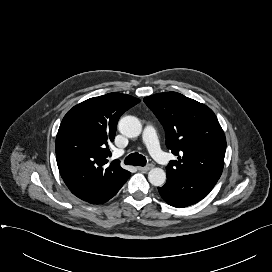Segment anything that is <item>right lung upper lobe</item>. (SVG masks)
Returning a JSON list of instances; mask_svg holds the SVG:
<instances>
[{
	"instance_id": "right-lung-upper-lobe-1",
	"label": "right lung upper lobe",
	"mask_w": 272,
	"mask_h": 272,
	"mask_svg": "<svg viewBox=\"0 0 272 272\" xmlns=\"http://www.w3.org/2000/svg\"><path fill=\"white\" fill-rule=\"evenodd\" d=\"M139 102L130 95L109 93L74 106L64 116L55 143L57 165L78 198L97 204L131 176L119 160L108 164L107 157L120 116Z\"/></svg>"
}]
</instances>
